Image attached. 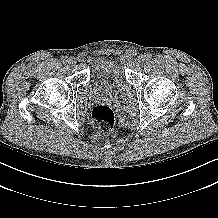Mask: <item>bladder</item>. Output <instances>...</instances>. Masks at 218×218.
<instances>
[{"label":"bladder","mask_w":218,"mask_h":218,"mask_svg":"<svg viewBox=\"0 0 218 218\" xmlns=\"http://www.w3.org/2000/svg\"><path fill=\"white\" fill-rule=\"evenodd\" d=\"M89 79L97 90L113 89L123 92L128 89L125 67L119 58L95 56L89 62Z\"/></svg>","instance_id":"1"}]
</instances>
